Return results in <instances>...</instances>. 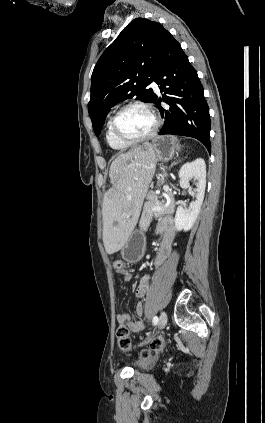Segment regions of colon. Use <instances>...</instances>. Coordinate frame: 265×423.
<instances>
[{
    "label": "colon",
    "instance_id": "5ec220e1",
    "mask_svg": "<svg viewBox=\"0 0 265 423\" xmlns=\"http://www.w3.org/2000/svg\"><path fill=\"white\" fill-rule=\"evenodd\" d=\"M113 268L118 272L124 269V263L122 260L117 259L113 262ZM117 343L120 349L123 351H129L132 343L130 339L129 329L125 324H120L116 330ZM164 344V338L162 336L155 337L151 340L149 346L140 352V358L143 361H148L152 356L158 353Z\"/></svg>",
    "mask_w": 265,
    "mask_h": 423
}]
</instances>
